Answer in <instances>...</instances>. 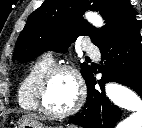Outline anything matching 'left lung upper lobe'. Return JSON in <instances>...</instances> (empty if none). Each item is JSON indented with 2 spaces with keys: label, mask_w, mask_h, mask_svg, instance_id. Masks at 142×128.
Wrapping results in <instances>:
<instances>
[{
  "label": "left lung upper lobe",
  "mask_w": 142,
  "mask_h": 128,
  "mask_svg": "<svg viewBox=\"0 0 142 128\" xmlns=\"http://www.w3.org/2000/svg\"><path fill=\"white\" fill-rule=\"evenodd\" d=\"M86 10L99 11L105 20L96 29L82 18ZM137 23L129 0H45L28 17L19 35L12 60L28 62L46 50L66 52L79 36H89L99 48L125 33ZM91 69L81 64L86 80Z\"/></svg>",
  "instance_id": "obj_1"
}]
</instances>
